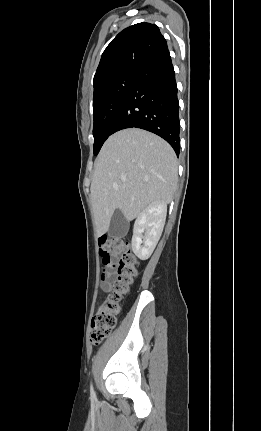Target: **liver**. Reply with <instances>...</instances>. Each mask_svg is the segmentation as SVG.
Returning <instances> with one entry per match:
<instances>
[{
	"instance_id": "6515ba94",
	"label": "liver",
	"mask_w": 261,
	"mask_h": 431,
	"mask_svg": "<svg viewBox=\"0 0 261 431\" xmlns=\"http://www.w3.org/2000/svg\"><path fill=\"white\" fill-rule=\"evenodd\" d=\"M177 182L176 155L165 140L138 128L114 133L96 158L90 187L97 235L108 231L115 210L132 221L153 202L170 203Z\"/></svg>"
}]
</instances>
